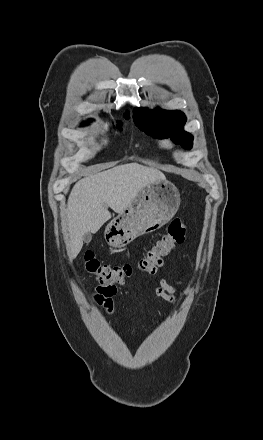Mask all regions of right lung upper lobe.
<instances>
[{
	"mask_svg": "<svg viewBox=\"0 0 263 440\" xmlns=\"http://www.w3.org/2000/svg\"><path fill=\"white\" fill-rule=\"evenodd\" d=\"M129 118V115H128V113H127V115H126V119H128Z\"/></svg>",
	"mask_w": 263,
	"mask_h": 440,
	"instance_id": "cb5924a9",
	"label": "right lung upper lobe"
}]
</instances>
